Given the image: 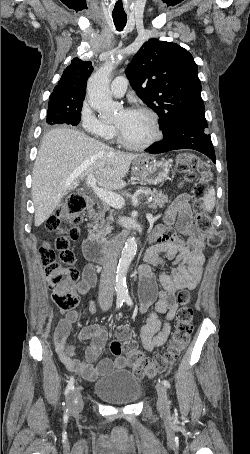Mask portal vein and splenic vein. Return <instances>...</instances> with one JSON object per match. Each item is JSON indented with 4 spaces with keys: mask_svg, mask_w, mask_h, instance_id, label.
Wrapping results in <instances>:
<instances>
[{
    "mask_svg": "<svg viewBox=\"0 0 250 454\" xmlns=\"http://www.w3.org/2000/svg\"><path fill=\"white\" fill-rule=\"evenodd\" d=\"M87 184L92 188L94 194L106 203L107 205L115 208V209H121L125 205V200L122 196L119 194H116L112 191H107L105 189L99 188L96 186V179L93 175H89L87 177ZM143 192L142 190H138L137 194Z\"/></svg>",
    "mask_w": 250,
    "mask_h": 454,
    "instance_id": "portal-vein-and-splenic-vein-1",
    "label": "portal vein and splenic vein"
}]
</instances>
